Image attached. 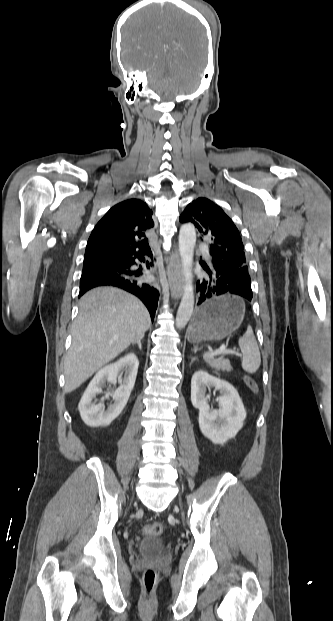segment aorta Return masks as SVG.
<instances>
[{"instance_id": "obj_1", "label": "aorta", "mask_w": 333, "mask_h": 621, "mask_svg": "<svg viewBox=\"0 0 333 621\" xmlns=\"http://www.w3.org/2000/svg\"><path fill=\"white\" fill-rule=\"evenodd\" d=\"M196 244V231L192 224H184L179 231V253L185 277L184 293L176 315V327L184 328L191 318L194 308L193 256Z\"/></svg>"}]
</instances>
